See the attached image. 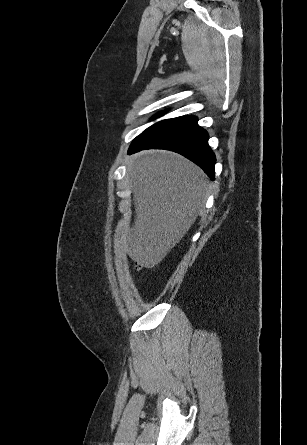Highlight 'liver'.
<instances>
[{
  "instance_id": "obj_1",
  "label": "liver",
  "mask_w": 307,
  "mask_h": 445,
  "mask_svg": "<svg viewBox=\"0 0 307 445\" xmlns=\"http://www.w3.org/2000/svg\"><path fill=\"white\" fill-rule=\"evenodd\" d=\"M135 223L117 227L116 243L138 265L152 269L183 239L209 196L208 178L175 152H145L130 164Z\"/></svg>"
}]
</instances>
